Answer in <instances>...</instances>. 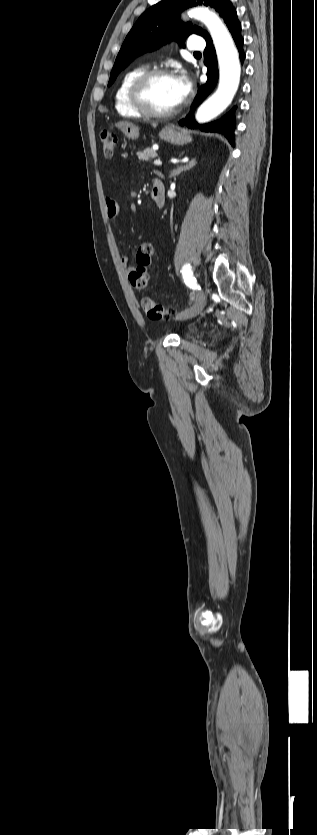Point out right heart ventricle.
I'll return each mask as SVG.
<instances>
[{
	"label": "right heart ventricle",
	"instance_id": "obj_1",
	"mask_svg": "<svg viewBox=\"0 0 317 835\" xmlns=\"http://www.w3.org/2000/svg\"><path fill=\"white\" fill-rule=\"evenodd\" d=\"M146 70H148L147 67L142 65L134 67L120 80L115 93V108L121 115L134 118L143 116L131 104L129 90L134 80Z\"/></svg>",
	"mask_w": 317,
	"mask_h": 835
}]
</instances>
